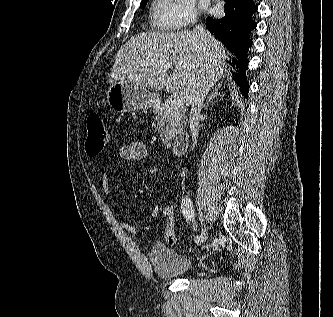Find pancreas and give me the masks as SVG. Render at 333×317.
<instances>
[{"mask_svg":"<svg viewBox=\"0 0 333 317\" xmlns=\"http://www.w3.org/2000/svg\"><path fill=\"white\" fill-rule=\"evenodd\" d=\"M152 113L158 122L157 128L163 143L168 145L182 131L186 124V116L182 111L173 109L168 103H155Z\"/></svg>","mask_w":333,"mask_h":317,"instance_id":"obj_1","label":"pancreas"}]
</instances>
